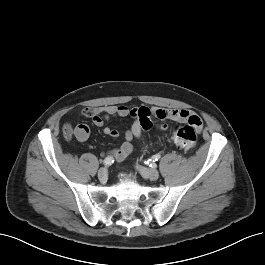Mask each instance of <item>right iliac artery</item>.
<instances>
[{"instance_id": "obj_1", "label": "right iliac artery", "mask_w": 265, "mask_h": 265, "mask_svg": "<svg viewBox=\"0 0 265 265\" xmlns=\"http://www.w3.org/2000/svg\"><path fill=\"white\" fill-rule=\"evenodd\" d=\"M114 162L113 157H106L103 161V164L105 166H110Z\"/></svg>"}]
</instances>
